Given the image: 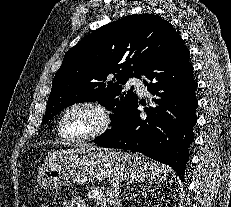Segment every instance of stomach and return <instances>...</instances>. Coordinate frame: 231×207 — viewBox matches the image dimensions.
I'll use <instances>...</instances> for the list:
<instances>
[{
  "label": "stomach",
  "instance_id": "obj_1",
  "mask_svg": "<svg viewBox=\"0 0 231 207\" xmlns=\"http://www.w3.org/2000/svg\"><path fill=\"white\" fill-rule=\"evenodd\" d=\"M151 167L137 154L120 150L64 152L38 174L37 182L45 190L87 182L137 183L148 178Z\"/></svg>",
  "mask_w": 231,
  "mask_h": 207
}]
</instances>
